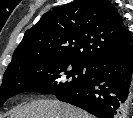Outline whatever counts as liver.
<instances>
[{
	"label": "liver",
	"instance_id": "6515ba94",
	"mask_svg": "<svg viewBox=\"0 0 133 118\" xmlns=\"http://www.w3.org/2000/svg\"><path fill=\"white\" fill-rule=\"evenodd\" d=\"M10 118H92L84 110L58 100L40 99L18 105Z\"/></svg>",
	"mask_w": 133,
	"mask_h": 118
}]
</instances>
